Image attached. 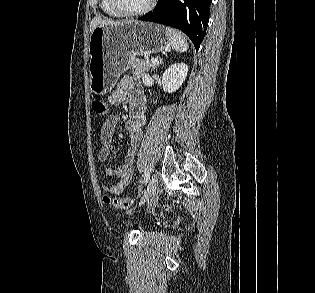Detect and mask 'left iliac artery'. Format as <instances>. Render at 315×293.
I'll return each mask as SVG.
<instances>
[{"instance_id":"left-iliac-artery-1","label":"left iliac artery","mask_w":315,"mask_h":293,"mask_svg":"<svg viewBox=\"0 0 315 293\" xmlns=\"http://www.w3.org/2000/svg\"><path fill=\"white\" fill-rule=\"evenodd\" d=\"M149 178H150V171H149V169H146V171L144 173V182L147 183Z\"/></svg>"}]
</instances>
